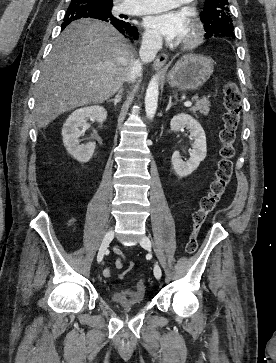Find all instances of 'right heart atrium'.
<instances>
[{
  "label": "right heart atrium",
  "instance_id": "right-heart-atrium-1",
  "mask_svg": "<svg viewBox=\"0 0 276 363\" xmlns=\"http://www.w3.org/2000/svg\"><path fill=\"white\" fill-rule=\"evenodd\" d=\"M146 40L149 43H155V39L149 34L146 35Z\"/></svg>",
  "mask_w": 276,
  "mask_h": 363
}]
</instances>
